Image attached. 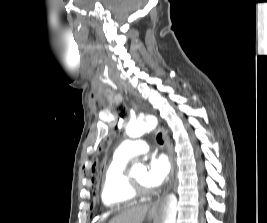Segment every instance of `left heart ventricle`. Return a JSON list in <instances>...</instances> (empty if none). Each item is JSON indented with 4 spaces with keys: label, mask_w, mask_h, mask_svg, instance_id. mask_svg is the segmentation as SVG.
Returning a JSON list of instances; mask_svg holds the SVG:
<instances>
[{
    "label": "left heart ventricle",
    "mask_w": 267,
    "mask_h": 223,
    "mask_svg": "<svg viewBox=\"0 0 267 223\" xmlns=\"http://www.w3.org/2000/svg\"><path fill=\"white\" fill-rule=\"evenodd\" d=\"M146 170H142L141 172H139L137 175H135L133 177V179L141 186L145 187V188H149V186L146 183Z\"/></svg>",
    "instance_id": "obj_1"
}]
</instances>
